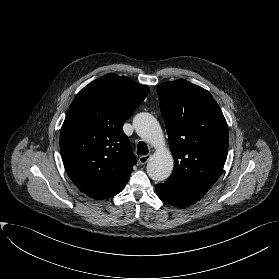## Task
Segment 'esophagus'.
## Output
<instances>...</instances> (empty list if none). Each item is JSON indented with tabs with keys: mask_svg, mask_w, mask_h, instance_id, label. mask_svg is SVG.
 I'll return each mask as SVG.
<instances>
[{
	"mask_svg": "<svg viewBox=\"0 0 279 279\" xmlns=\"http://www.w3.org/2000/svg\"><path fill=\"white\" fill-rule=\"evenodd\" d=\"M150 159V155H144V156H140L138 161L141 165L146 164Z\"/></svg>",
	"mask_w": 279,
	"mask_h": 279,
	"instance_id": "obj_1",
	"label": "esophagus"
}]
</instances>
